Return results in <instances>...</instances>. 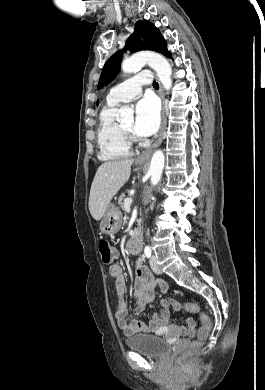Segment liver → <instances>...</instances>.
I'll return each mask as SVG.
<instances>
[{"label":"liver","mask_w":265,"mask_h":390,"mask_svg":"<svg viewBox=\"0 0 265 390\" xmlns=\"http://www.w3.org/2000/svg\"><path fill=\"white\" fill-rule=\"evenodd\" d=\"M134 159L114 160L102 163L96 171L90 189L89 211L98 221L105 214L110 201L129 180Z\"/></svg>","instance_id":"6515ba94"}]
</instances>
